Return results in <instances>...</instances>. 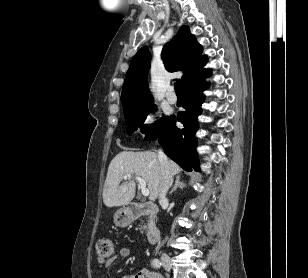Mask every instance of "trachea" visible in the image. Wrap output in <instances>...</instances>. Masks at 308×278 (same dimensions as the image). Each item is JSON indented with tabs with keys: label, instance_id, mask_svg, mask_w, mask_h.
<instances>
[{
	"label": "trachea",
	"instance_id": "1",
	"mask_svg": "<svg viewBox=\"0 0 308 278\" xmlns=\"http://www.w3.org/2000/svg\"><path fill=\"white\" fill-rule=\"evenodd\" d=\"M174 89H175L176 94H179V95L183 94V86L180 80L174 83Z\"/></svg>",
	"mask_w": 308,
	"mask_h": 278
}]
</instances>
